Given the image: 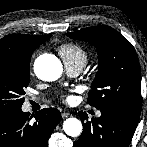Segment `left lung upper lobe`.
Returning a JSON list of instances; mask_svg holds the SVG:
<instances>
[{"label":"left lung upper lobe","instance_id":"left-lung-upper-lobe-1","mask_svg":"<svg viewBox=\"0 0 147 147\" xmlns=\"http://www.w3.org/2000/svg\"><path fill=\"white\" fill-rule=\"evenodd\" d=\"M66 35L92 42L98 52V72L91 85L88 103L97 109L115 110L139 121L142 108L141 72L132 44L106 25L88 27Z\"/></svg>","mask_w":147,"mask_h":147}]
</instances>
